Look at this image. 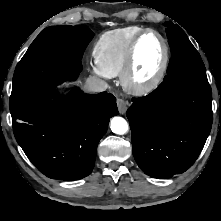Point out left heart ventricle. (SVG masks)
Wrapping results in <instances>:
<instances>
[{"label":"left heart ventricle","instance_id":"obj_1","mask_svg":"<svg viewBox=\"0 0 221 221\" xmlns=\"http://www.w3.org/2000/svg\"><path fill=\"white\" fill-rule=\"evenodd\" d=\"M163 59V46L154 34L145 35L139 42L132 79L136 84L150 81L159 70Z\"/></svg>","mask_w":221,"mask_h":221}]
</instances>
